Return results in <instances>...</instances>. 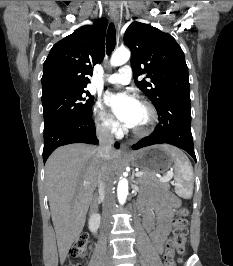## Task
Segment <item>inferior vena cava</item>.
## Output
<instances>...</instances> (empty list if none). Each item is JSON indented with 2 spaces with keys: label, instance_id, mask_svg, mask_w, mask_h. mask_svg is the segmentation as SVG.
<instances>
[{
  "label": "inferior vena cava",
  "instance_id": "inferior-vena-cava-1",
  "mask_svg": "<svg viewBox=\"0 0 233 266\" xmlns=\"http://www.w3.org/2000/svg\"><path fill=\"white\" fill-rule=\"evenodd\" d=\"M113 128L110 124H102L97 127V138L99 147L97 157L101 163L98 175V191L99 195L104 198L103 216L106 226L110 224V213L114 209L115 200L112 193L113 176L107 168V161L110 158V151L114 144Z\"/></svg>",
  "mask_w": 233,
  "mask_h": 266
}]
</instances>
